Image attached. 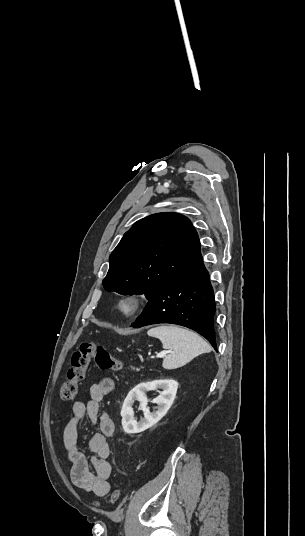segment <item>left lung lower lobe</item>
<instances>
[{
    "mask_svg": "<svg viewBox=\"0 0 305 536\" xmlns=\"http://www.w3.org/2000/svg\"><path fill=\"white\" fill-rule=\"evenodd\" d=\"M215 311L209 273L200 254L149 300L132 327L158 323L182 325L201 334L217 351L213 327Z\"/></svg>",
    "mask_w": 305,
    "mask_h": 536,
    "instance_id": "0a47b994",
    "label": "left lung lower lobe"
}]
</instances>
